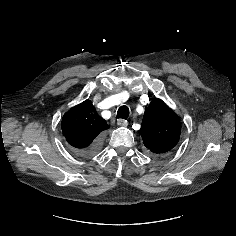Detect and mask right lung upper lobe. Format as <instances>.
Returning <instances> with one entry per match:
<instances>
[{
    "label": "right lung upper lobe",
    "mask_w": 236,
    "mask_h": 236,
    "mask_svg": "<svg viewBox=\"0 0 236 236\" xmlns=\"http://www.w3.org/2000/svg\"><path fill=\"white\" fill-rule=\"evenodd\" d=\"M108 128L107 122L98 115L90 100L66 112L61 122L66 141L78 150L90 147L99 134Z\"/></svg>",
    "instance_id": "obj_1"
}]
</instances>
